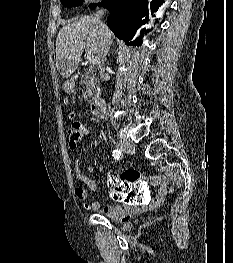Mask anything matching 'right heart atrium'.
Returning a JSON list of instances; mask_svg holds the SVG:
<instances>
[{
    "label": "right heart atrium",
    "instance_id": "1",
    "mask_svg": "<svg viewBox=\"0 0 233 263\" xmlns=\"http://www.w3.org/2000/svg\"><path fill=\"white\" fill-rule=\"evenodd\" d=\"M86 1H88V2H94V1H97V0H86Z\"/></svg>",
    "mask_w": 233,
    "mask_h": 263
}]
</instances>
